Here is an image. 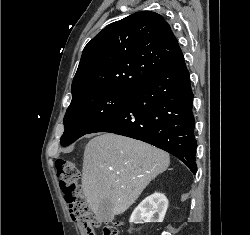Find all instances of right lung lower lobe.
<instances>
[{
	"label": "right lung lower lobe",
	"mask_w": 250,
	"mask_h": 235,
	"mask_svg": "<svg viewBox=\"0 0 250 235\" xmlns=\"http://www.w3.org/2000/svg\"><path fill=\"white\" fill-rule=\"evenodd\" d=\"M193 97L178 46L165 69L136 88L118 111L89 133L110 132L144 141L174 155L196 173Z\"/></svg>",
	"instance_id": "obj_1"
}]
</instances>
